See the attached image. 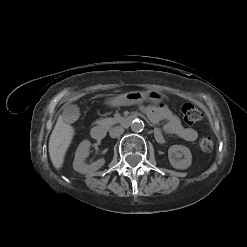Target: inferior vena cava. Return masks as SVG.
Returning a JSON list of instances; mask_svg holds the SVG:
<instances>
[{"instance_id": "obj_1", "label": "inferior vena cava", "mask_w": 247, "mask_h": 247, "mask_svg": "<svg viewBox=\"0 0 247 247\" xmlns=\"http://www.w3.org/2000/svg\"><path fill=\"white\" fill-rule=\"evenodd\" d=\"M124 132V128L120 127V126H116V127H113L110 131H109V135L112 137V138H116V137H119L121 134H123Z\"/></svg>"}]
</instances>
